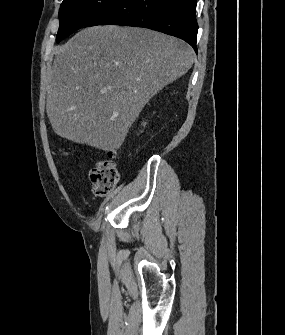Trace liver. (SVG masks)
<instances>
[{
    "instance_id": "6515ba94",
    "label": "liver",
    "mask_w": 285,
    "mask_h": 335,
    "mask_svg": "<svg viewBox=\"0 0 285 335\" xmlns=\"http://www.w3.org/2000/svg\"><path fill=\"white\" fill-rule=\"evenodd\" d=\"M53 50L46 110L55 134L105 152L121 148L147 102L194 62L186 42L145 28H85Z\"/></svg>"
}]
</instances>
